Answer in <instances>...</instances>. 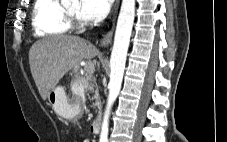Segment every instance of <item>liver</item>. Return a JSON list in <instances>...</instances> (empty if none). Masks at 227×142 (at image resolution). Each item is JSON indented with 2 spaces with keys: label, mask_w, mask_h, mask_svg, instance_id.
Listing matches in <instances>:
<instances>
[{
  "label": "liver",
  "mask_w": 227,
  "mask_h": 142,
  "mask_svg": "<svg viewBox=\"0 0 227 142\" xmlns=\"http://www.w3.org/2000/svg\"><path fill=\"white\" fill-rule=\"evenodd\" d=\"M97 54L96 47L79 36L54 35L36 41L29 51V64L42 99H47L70 69Z\"/></svg>",
  "instance_id": "6515ba94"
}]
</instances>
